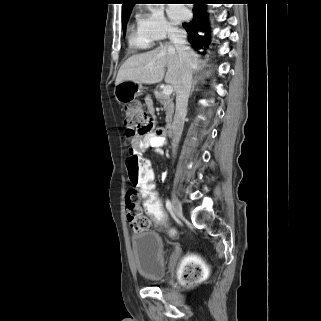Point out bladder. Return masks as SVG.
Here are the masks:
<instances>
[{"instance_id": "obj_1", "label": "bladder", "mask_w": 321, "mask_h": 321, "mask_svg": "<svg viewBox=\"0 0 321 321\" xmlns=\"http://www.w3.org/2000/svg\"><path fill=\"white\" fill-rule=\"evenodd\" d=\"M131 248L138 273L159 282L165 276L164 243L159 233L142 231L131 235Z\"/></svg>"}]
</instances>
